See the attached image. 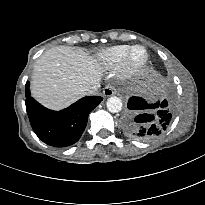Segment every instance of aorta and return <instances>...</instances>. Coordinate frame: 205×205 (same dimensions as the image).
I'll return each mask as SVG.
<instances>
[{
	"label": "aorta",
	"instance_id": "aorta-1",
	"mask_svg": "<svg viewBox=\"0 0 205 205\" xmlns=\"http://www.w3.org/2000/svg\"><path fill=\"white\" fill-rule=\"evenodd\" d=\"M106 105H107L108 111L111 113L120 112L123 106L121 99L116 96H112L108 98Z\"/></svg>",
	"mask_w": 205,
	"mask_h": 205
}]
</instances>
